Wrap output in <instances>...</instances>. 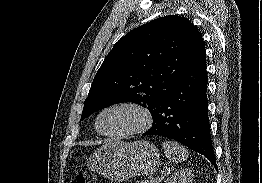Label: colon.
I'll return each instance as SVG.
<instances>
[{"label":"colon","instance_id":"1","mask_svg":"<svg viewBox=\"0 0 262 183\" xmlns=\"http://www.w3.org/2000/svg\"><path fill=\"white\" fill-rule=\"evenodd\" d=\"M72 183H87V175L86 174H79L77 175Z\"/></svg>","mask_w":262,"mask_h":183}]
</instances>
